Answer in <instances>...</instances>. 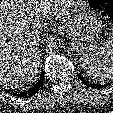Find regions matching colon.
<instances>
[{
  "instance_id": "1",
  "label": "colon",
  "mask_w": 113,
  "mask_h": 113,
  "mask_svg": "<svg viewBox=\"0 0 113 113\" xmlns=\"http://www.w3.org/2000/svg\"><path fill=\"white\" fill-rule=\"evenodd\" d=\"M90 3L103 15L113 18V0H90Z\"/></svg>"
}]
</instances>
